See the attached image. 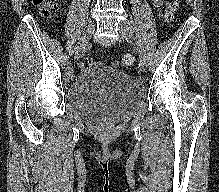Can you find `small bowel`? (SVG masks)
<instances>
[{"label": "small bowel", "instance_id": "small-bowel-1", "mask_svg": "<svg viewBox=\"0 0 219 192\" xmlns=\"http://www.w3.org/2000/svg\"><path fill=\"white\" fill-rule=\"evenodd\" d=\"M152 1L156 7H160L163 4V0H152Z\"/></svg>", "mask_w": 219, "mask_h": 192}]
</instances>
